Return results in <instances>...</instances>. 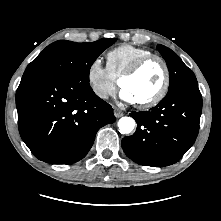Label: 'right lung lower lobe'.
I'll list each match as a JSON object with an SVG mask.
<instances>
[{
  "instance_id": "98d812e1",
  "label": "right lung lower lobe",
  "mask_w": 221,
  "mask_h": 221,
  "mask_svg": "<svg viewBox=\"0 0 221 221\" xmlns=\"http://www.w3.org/2000/svg\"><path fill=\"white\" fill-rule=\"evenodd\" d=\"M16 107L22 140L35 157L51 164L84 158L97 131L116 120L89 82L48 71L23 74Z\"/></svg>"
}]
</instances>
